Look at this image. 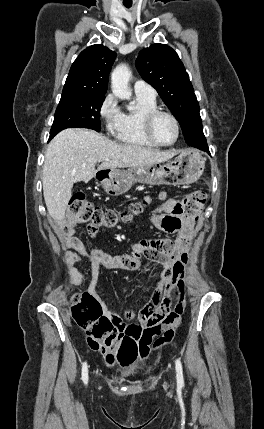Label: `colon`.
Wrapping results in <instances>:
<instances>
[{
	"mask_svg": "<svg viewBox=\"0 0 264 429\" xmlns=\"http://www.w3.org/2000/svg\"><path fill=\"white\" fill-rule=\"evenodd\" d=\"M206 193L195 190L185 195L180 204V210L191 221L196 222L204 208ZM145 201L132 204L128 209L117 212L103 206H95L83 194H75L70 200L67 212L69 225L88 223V227H112L119 222H127L133 215L139 213ZM181 284L175 293L177 308L183 311V295ZM72 317L75 323L85 331L87 342L91 349L107 354L110 364L127 366L137 355V344L126 337V318L110 313L105 315L98 301L87 293H76L72 296Z\"/></svg>",
	"mask_w": 264,
	"mask_h": 429,
	"instance_id": "5ec220e1",
	"label": "colon"
}]
</instances>
